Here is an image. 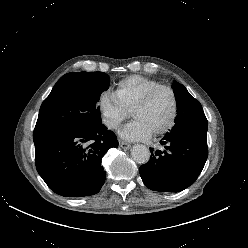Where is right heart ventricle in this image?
<instances>
[{"instance_id":"right-heart-ventricle-1","label":"right heart ventricle","mask_w":248,"mask_h":248,"mask_svg":"<svg viewBox=\"0 0 248 248\" xmlns=\"http://www.w3.org/2000/svg\"><path fill=\"white\" fill-rule=\"evenodd\" d=\"M161 85L160 82L141 75H131L120 80L114 94L127 111L150 89Z\"/></svg>"}]
</instances>
